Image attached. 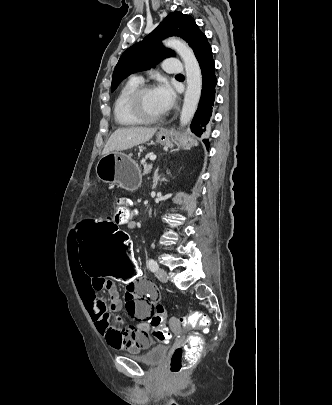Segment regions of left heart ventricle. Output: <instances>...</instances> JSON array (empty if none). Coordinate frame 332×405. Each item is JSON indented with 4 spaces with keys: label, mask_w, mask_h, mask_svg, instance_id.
<instances>
[{
    "label": "left heart ventricle",
    "mask_w": 332,
    "mask_h": 405,
    "mask_svg": "<svg viewBox=\"0 0 332 405\" xmlns=\"http://www.w3.org/2000/svg\"><path fill=\"white\" fill-rule=\"evenodd\" d=\"M142 103L144 111L148 116L155 117L165 114V111L157 98L155 89L145 93Z\"/></svg>",
    "instance_id": "left-heart-ventricle-1"
}]
</instances>
